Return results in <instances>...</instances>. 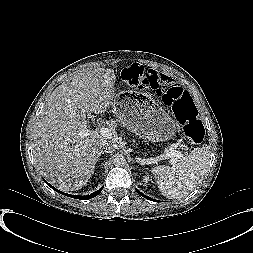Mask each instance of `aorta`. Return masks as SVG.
I'll return each instance as SVG.
<instances>
[{
  "label": "aorta",
  "mask_w": 253,
  "mask_h": 253,
  "mask_svg": "<svg viewBox=\"0 0 253 253\" xmlns=\"http://www.w3.org/2000/svg\"><path fill=\"white\" fill-rule=\"evenodd\" d=\"M113 164L116 167H120L123 166L125 164V159L122 155H117L114 159H113Z\"/></svg>",
  "instance_id": "aorta-1"
}]
</instances>
